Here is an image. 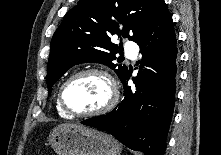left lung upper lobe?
Here are the masks:
<instances>
[{
  "label": "left lung upper lobe",
  "instance_id": "1",
  "mask_svg": "<svg viewBox=\"0 0 221 155\" xmlns=\"http://www.w3.org/2000/svg\"><path fill=\"white\" fill-rule=\"evenodd\" d=\"M163 3L164 0H79L77 6L66 13L51 40L48 95L68 69L84 62L103 63L122 80L128 69L112 62L116 60L118 46L111 43V37L136 42Z\"/></svg>",
  "mask_w": 221,
  "mask_h": 155
}]
</instances>
